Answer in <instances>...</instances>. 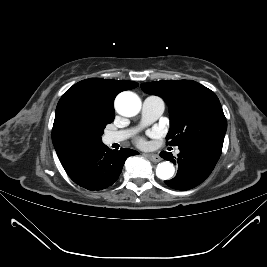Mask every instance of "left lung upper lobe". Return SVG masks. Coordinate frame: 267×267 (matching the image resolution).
Returning a JSON list of instances; mask_svg holds the SVG:
<instances>
[{"instance_id": "obj_1", "label": "left lung upper lobe", "mask_w": 267, "mask_h": 267, "mask_svg": "<svg viewBox=\"0 0 267 267\" xmlns=\"http://www.w3.org/2000/svg\"><path fill=\"white\" fill-rule=\"evenodd\" d=\"M147 94L158 95L167 103L171 146L212 144L223 146L227 123L213 91L191 80H162L142 83Z\"/></svg>"}]
</instances>
